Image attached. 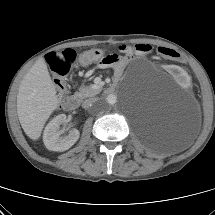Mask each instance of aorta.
I'll list each match as a JSON object with an SVG mask.
<instances>
[{"instance_id":"762f6f07","label":"aorta","mask_w":215,"mask_h":215,"mask_svg":"<svg viewBox=\"0 0 215 215\" xmlns=\"http://www.w3.org/2000/svg\"><path fill=\"white\" fill-rule=\"evenodd\" d=\"M116 100H117L116 96L113 94H110L107 96L104 102L100 103V105L102 104L103 106L108 107L115 104Z\"/></svg>"}]
</instances>
